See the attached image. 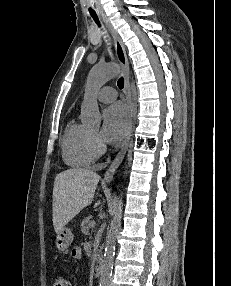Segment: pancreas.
Listing matches in <instances>:
<instances>
[{
  "instance_id": "pancreas-1",
  "label": "pancreas",
  "mask_w": 231,
  "mask_h": 286,
  "mask_svg": "<svg viewBox=\"0 0 231 286\" xmlns=\"http://www.w3.org/2000/svg\"><path fill=\"white\" fill-rule=\"evenodd\" d=\"M91 218H92L91 216H88V217H85L82 220V222H81V231H82V233L87 234L89 232L90 223H91L90 219Z\"/></svg>"
}]
</instances>
